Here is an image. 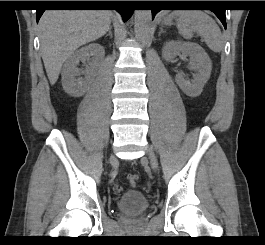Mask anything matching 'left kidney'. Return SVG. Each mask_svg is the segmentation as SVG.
<instances>
[{
	"mask_svg": "<svg viewBox=\"0 0 265 245\" xmlns=\"http://www.w3.org/2000/svg\"><path fill=\"white\" fill-rule=\"evenodd\" d=\"M162 55L168 61L179 55L190 57V68L196 71L194 78L189 81L177 74L175 81L187 96H199L212 70V62L205 50L196 43L170 41L164 45Z\"/></svg>",
	"mask_w": 265,
	"mask_h": 245,
	"instance_id": "obj_1",
	"label": "left kidney"
}]
</instances>
